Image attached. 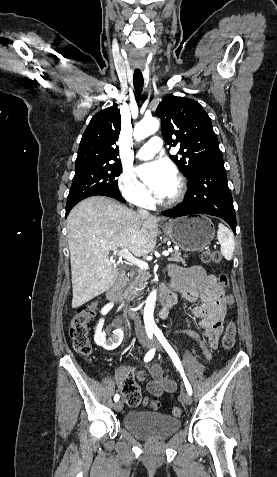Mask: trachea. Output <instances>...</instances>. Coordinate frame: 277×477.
Masks as SVG:
<instances>
[{
    "instance_id": "3493384b",
    "label": "trachea",
    "mask_w": 277,
    "mask_h": 477,
    "mask_svg": "<svg viewBox=\"0 0 277 477\" xmlns=\"http://www.w3.org/2000/svg\"><path fill=\"white\" fill-rule=\"evenodd\" d=\"M143 84H144V79H143L142 72L139 71V70L134 71V74H133V85H134L135 91H136L138 94H141V93H142V91H143Z\"/></svg>"
}]
</instances>
